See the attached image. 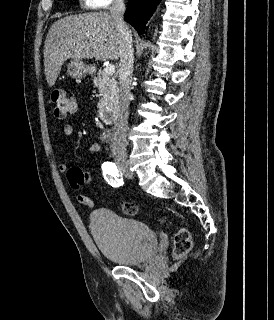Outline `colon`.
I'll list each match as a JSON object with an SVG mask.
<instances>
[{
	"label": "colon",
	"instance_id": "colon-1",
	"mask_svg": "<svg viewBox=\"0 0 274 320\" xmlns=\"http://www.w3.org/2000/svg\"><path fill=\"white\" fill-rule=\"evenodd\" d=\"M50 102L52 104L53 117L57 120H63L68 115L74 114L76 111V102L70 97L63 88H55L50 93ZM83 173L85 175H83ZM82 171L79 168L72 167L66 174L67 179L74 189H78L82 182L87 185L88 172ZM121 212L126 216H135L138 208L131 202H122L120 205ZM192 247L191 237L187 229L181 227L175 232L174 253L177 258H182Z\"/></svg>",
	"mask_w": 274,
	"mask_h": 320
}]
</instances>
